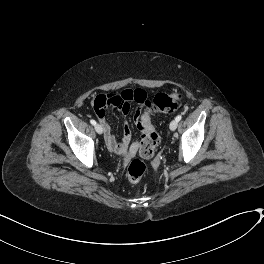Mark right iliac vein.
<instances>
[{
    "label": "right iliac vein",
    "mask_w": 264,
    "mask_h": 264,
    "mask_svg": "<svg viewBox=\"0 0 264 264\" xmlns=\"http://www.w3.org/2000/svg\"><path fill=\"white\" fill-rule=\"evenodd\" d=\"M95 130L98 134H102L103 133V128L100 124H97L95 125Z\"/></svg>",
    "instance_id": "obj_1"
}]
</instances>
